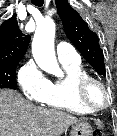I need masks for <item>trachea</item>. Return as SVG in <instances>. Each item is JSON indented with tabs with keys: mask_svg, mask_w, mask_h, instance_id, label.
Returning a JSON list of instances; mask_svg holds the SVG:
<instances>
[{
	"mask_svg": "<svg viewBox=\"0 0 117 136\" xmlns=\"http://www.w3.org/2000/svg\"><path fill=\"white\" fill-rule=\"evenodd\" d=\"M32 3L35 6L41 7L43 5V3H44V0H32Z\"/></svg>",
	"mask_w": 117,
	"mask_h": 136,
	"instance_id": "trachea-1",
	"label": "trachea"
}]
</instances>
